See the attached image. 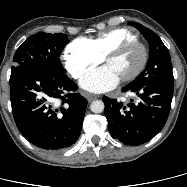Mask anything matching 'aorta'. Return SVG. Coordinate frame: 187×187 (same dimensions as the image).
<instances>
[{"instance_id": "obj_1", "label": "aorta", "mask_w": 187, "mask_h": 187, "mask_svg": "<svg viewBox=\"0 0 187 187\" xmlns=\"http://www.w3.org/2000/svg\"><path fill=\"white\" fill-rule=\"evenodd\" d=\"M105 105L101 100H95L91 103L90 109L93 113H102L104 111Z\"/></svg>"}]
</instances>
